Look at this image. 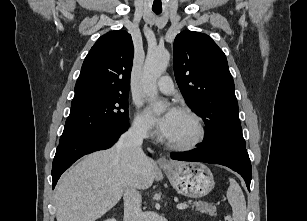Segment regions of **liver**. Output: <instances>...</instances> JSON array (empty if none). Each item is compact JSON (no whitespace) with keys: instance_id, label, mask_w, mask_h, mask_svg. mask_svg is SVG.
<instances>
[{"instance_id":"1","label":"liver","mask_w":307,"mask_h":221,"mask_svg":"<svg viewBox=\"0 0 307 221\" xmlns=\"http://www.w3.org/2000/svg\"><path fill=\"white\" fill-rule=\"evenodd\" d=\"M155 169L149 158L135 166L117 147L85 156L57 183V221L97 220L119 202L128 183L149 188Z\"/></svg>"}]
</instances>
